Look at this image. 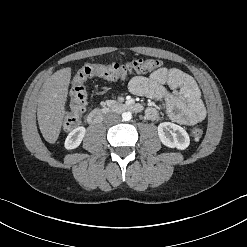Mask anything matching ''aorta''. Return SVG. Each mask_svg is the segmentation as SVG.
Instances as JSON below:
<instances>
[{"instance_id": "obj_1", "label": "aorta", "mask_w": 247, "mask_h": 247, "mask_svg": "<svg viewBox=\"0 0 247 247\" xmlns=\"http://www.w3.org/2000/svg\"><path fill=\"white\" fill-rule=\"evenodd\" d=\"M132 118L131 112H124L122 113V120L123 121H130Z\"/></svg>"}]
</instances>
